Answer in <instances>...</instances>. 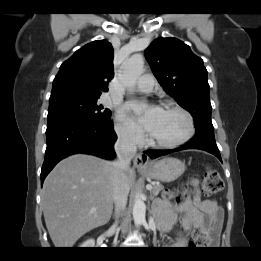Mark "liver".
Masks as SVG:
<instances>
[{
	"mask_svg": "<svg viewBox=\"0 0 261 261\" xmlns=\"http://www.w3.org/2000/svg\"><path fill=\"white\" fill-rule=\"evenodd\" d=\"M113 162L75 154L59 162L44 181L42 207L56 248H71L94 228L105 225L113 210ZM129 188L135 180L125 172Z\"/></svg>",
	"mask_w": 261,
	"mask_h": 261,
	"instance_id": "liver-1",
	"label": "liver"
}]
</instances>
